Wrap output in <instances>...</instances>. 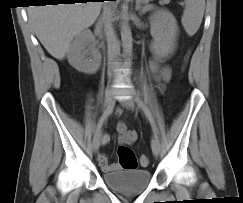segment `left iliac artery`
<instances>
[{
  "label": "left iliac artery",
  "mask_w": 243,
  "mask_h": 203,
  "mask_svg": "<svg viewBox=\"0 0 243 203\" xmlns=\"http://www.w3.org/2000/svg\"><path fill=\"white\" fill-rule=\"evenodd\" d=\"M134 97H135V101H136L137 105L144 111L146 117L148 118V120L152 126L154 134L156 136H158V130H157V127L155 125V122H154V119H153V116H152L150 110L148 109V107L145 105V103L142 101L140 96L135 91H134Z\"/></svg>",
  "instance_id": "1"
}]
</instances>
